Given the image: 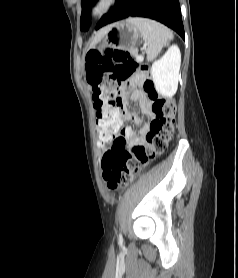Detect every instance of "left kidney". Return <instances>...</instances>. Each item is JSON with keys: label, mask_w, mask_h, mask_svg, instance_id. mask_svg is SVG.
<instances>
[{"label": "left kidney", "mask_w": 238, "mask_h": 278, "mask_svg": "<svg viewBox=\"0 0 238 278\" xmlns=\"http://www.w3.org/2000/svg\"><path fill=\"white\" fill-rule=\"evenodd\" d=\"M181 53L179 48L171 46L167 52L152 64L151 75L158 93L172 97L178 88Z\"/></svg>", "instance_id": "5707ae66"}]
</instances>
